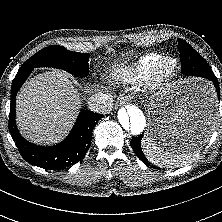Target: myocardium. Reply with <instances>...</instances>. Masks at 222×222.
<instances>
[{"label": "myocardium", "mask_w": 222, "mask_h": 222, "mask_svg": "<svg viewBox=\"0 0 222 222\" xmlns=\"http://www.w3.org/2000/svg\"><path fill=\"white\" fill-rule=\"evenodd\" d=\"M166 65H169L166 68ZM178 62L172 56H163L153 67L149 82L153 87H161L170 82L176 75Z\"/></svg>", "instance_id": "f54148a6"}]
</instances>
